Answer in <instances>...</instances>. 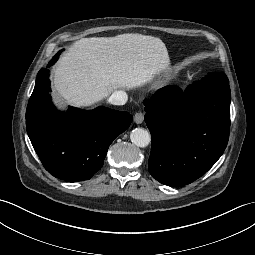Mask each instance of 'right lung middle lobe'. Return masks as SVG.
I'll list each match as a JSON object with an SVG mask.
<instances>
[{"mask_svg":"<svg viewBox=\"0 0 255 255\" xmlns=\"http://www.w3.org/2000/svg\"><path fill=\"white\" fill-rule=\"evenodd\" d=\"M61 52H62V51H59V52L53 57V59H52L49 63H51V64L55 63V62L57 61V59H58V57H59V54H60Z\"/></svg>","mask_w":255,"mask_h":255,"instance_id":"1","label":"right lung middle lobe"}]
</instances>
